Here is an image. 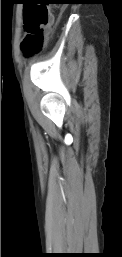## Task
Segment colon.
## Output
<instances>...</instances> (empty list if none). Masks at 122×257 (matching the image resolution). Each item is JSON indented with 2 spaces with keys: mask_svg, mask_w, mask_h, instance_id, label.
<instances>
[{
  "mask_svg": "<svg viewBox=\"0 0 122 257\" xmlns=\"http://www.w3.org/2000/svg\"><path fill=\"white\" fill-rule=\"evenodd\" d=\"M24 31L22 42L23 50L31 55L44 46L52 14L44 5H24Z\"/></svg>",
  "mask_w": 122,
  "mask_h": 257,
  "instance_id": "1",
  "label": "colon"
}]
</instances>
